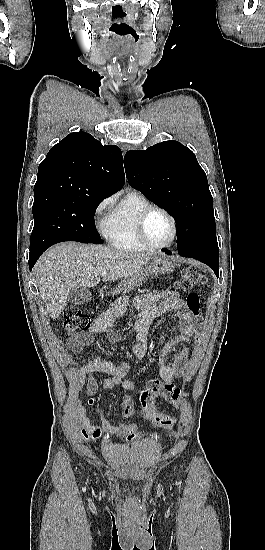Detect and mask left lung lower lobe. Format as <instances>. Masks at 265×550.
Here are the masks:
<instances>
[{
  "instance_id": "0a47b994",
  "label": "left lung lower lobe",
  "mask_w": 265,
  "mask_h": 550,
  "mask_svg": "<svg viewBox=\"0 0 265 550\" xmlns=\"http://www.w3.org/2000/svg\"><path fill=\"white\" fill-rule=\"evenodd\" d=\"M166 251L167 254H171L170 251H167L166 249H164ZM181 256H184V257H191V258H195L201 262H204L205 264H207L209 267H211L213 269V271L215 272V274L218 276V273H219V256L217 254H215L213 251H209V250H206V251H201V252H194V253H185V254H180Z\"/></svg>"
}]
</instances>
